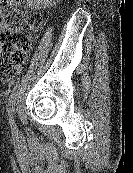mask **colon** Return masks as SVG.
Here are the masks:
<instances>
[{"label": "colon", "instance_id": "obj_1", "mask_svg": "<svg viewBox=\"0 0 133 173\" xmlns=\"http://www.w3.org/2000/svg\"><path fill=\"white\" fill-rule=\"evenodd\" d=\"M17 0H0V80H9L25 62L31 37L40 26L33 12L14 9Z\"/></svg>", "mask_w": 133, "mask_h": 173}]
</instances>
